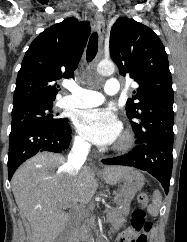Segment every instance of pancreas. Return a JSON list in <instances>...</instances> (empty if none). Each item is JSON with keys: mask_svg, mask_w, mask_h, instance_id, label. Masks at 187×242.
<instances>
[{"mask_svg": "<svg viewBox=\"0 0 187 242\" xmlns=\"http://www.w3.org/2000/svg\"><path fill=\"white\" fill-rule=\"evenodd\" d=\"M121 213L117 209L108 210L106 212L107 220L111 223L114 222L116 215ZM91 229H95V217L90 215L88 212H85L82 215V224L76 229V236L82 242L86 241L87 235Z\"/></svg>", "mask_w": 187, "mask_h": 242, "instance_id": "cf45deb5", "label": "pancreas"}]
</instances>
